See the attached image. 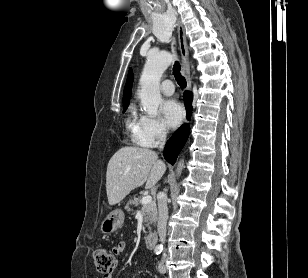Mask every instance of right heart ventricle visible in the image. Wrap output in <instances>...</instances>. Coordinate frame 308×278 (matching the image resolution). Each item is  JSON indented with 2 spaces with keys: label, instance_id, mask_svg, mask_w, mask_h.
I'll return each mask as SVG.
<instances>
[{
  "label": "right heart ventricle",
  "instance_id": "e07e8e85",
  "mask_svg": "<svg viewBox=\"0 0 308 278\" xmlns=\"http://www.w3.org/2000/svg\"><path fill=\"white\" fill-rule=\"evenodd\" d=\"M141 120H142V116L138 114L135 108H131L127 121H126V126H127V129L131 133V137L133 141L137 143H139Z\"/></svg>",
  "mask_w": 308,
  "mask_h": 278
}]
</instances>
